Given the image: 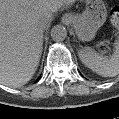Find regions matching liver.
Returning a JSON list of instances; mask_svg holds the SVG:
<instances>
[{
    "label": "liver",
    "instance_id": "1",
    "mask_svg": "<svg viewBox=\"0 0 119 119\" xmlns=\"http://www.w3.org/2000/svg\"><path fill=\"white\" fill-rule=\"evenodd\" d=\"M74 0H0V83L18 87L37 70L43 49V32L52 15Z\"/></svg>",
    "mask_w": 119,
    "mask_h": 119
}]
</instances>
